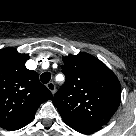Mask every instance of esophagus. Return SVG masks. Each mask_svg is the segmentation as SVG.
<instances>
[{
  "label": "esophagus",
  "instance_id": "esophagus-1",
  "mask_svg": "<svg viewBox=\"0 0 136 136\" xmlns=\"http://www.w3.org/2000/svg\"><path fill=\"white\" fill-rule=\"evenodd\" d=\"M46 86L51 91L52 94L55 93L56 87H55V84L53 82H49Z\"/></svg>",
  "mask_w": 136,
  "mask_h": 136
}]
</instances>
